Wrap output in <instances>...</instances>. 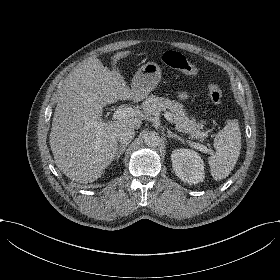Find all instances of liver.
Listing matches in <instances>:
<instances>
[{"instance_id": "obj_1", "label": "liver", "mask_w": 280, "mask_h": 280, "mask_svg": "<svg viewBox=\"0 0 280 280\" xmlns=\"http://www.w3.org/2000/svg\"><path fill=\"white\" fill-rule=\"evenodd\" d=\"M129 53L118 52L114 63ZM145 97L140 90L130 89L116 69L110 71L97 58L71 72L64 80L50 133L58 168L79 183H92L101 177L117 151V132L139 129L142 124L135 117L102 122L103 108L118 100L139 102Z\"/></svg>"}]
</instances>
